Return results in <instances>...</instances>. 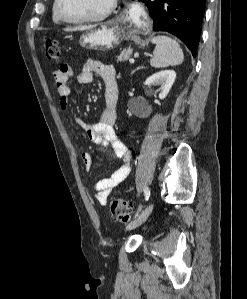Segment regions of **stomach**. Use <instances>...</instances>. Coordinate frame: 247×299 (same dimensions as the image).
<instances>
[{
	"instance_id": "obj_1",
	"label": "stomach",
	"mask_w": 247,
	"mask_h": 299,
	"mask_svg": "<svg viewBox=\"0 0 247 299\" xmlns=\"http://www.w3.org/2000/svg\"><path fill=\"white\" fill-rule=\"evenodd\" d=\"M125 38V31L118 21L95 25L86 31L79 40L81 47L94 50H110L117 47Z\"/></svg>"
}]
</instances>
